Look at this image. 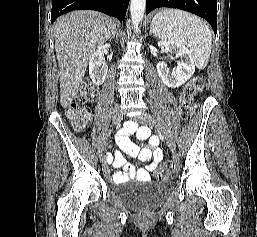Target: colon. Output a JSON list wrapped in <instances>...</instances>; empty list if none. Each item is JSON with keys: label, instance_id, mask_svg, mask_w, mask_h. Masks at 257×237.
<instances>
[{"label": "colon", "instance_id": "5ec220e1", "mask_svg": "<svg viewBox=\"0 0 257 237\" xmlns=\"http://www.w3.org/2000/svg\"><path fill=\"white\" fill-rule=\"evenodd\" d=\"M205 86V79L202 76L193 77L184 87L180 97V112L184 119H190L196 109L194 98L201 93ZM95 90L89 83H84L74 101L67 108V116L76 130H82L89 122V110L86 104L95 98ZM175 163L168 161L163 167L154 173L156 180H166L172 176Z\"/></svg>", "mask_w": 257, "mask_h": 237}]
</instances>
